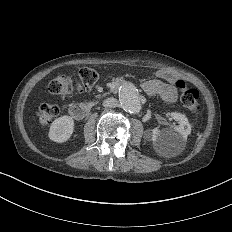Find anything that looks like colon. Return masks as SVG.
<instances>
[{"label":"colon","instance_id":"5ec220e1","mask_svg":"<svg viewBox=\"0 0 232 232\" xmlns=\"http://www.w3.org/2000/svg\"><path fill=\"white\" fill-rule=\"evenodd\" d=\"M76 73L73 77L70 74H55L57 80L49 81L50 93H69L73 89L84 94L93 88V82L99 79V73L94 68H76ZM70 82V84H66ZM180 91H185L183 94V102H180V107H188L192 113L203 111V106L199 100V91L195 87H189L185 90V86H180ZM38 112L43 116H38V121L41 125H48L51 117H59L61 108L51 106L49 102H40Z\"/></svg>","mask_w":232,"mask_h":232}]
</instances>
